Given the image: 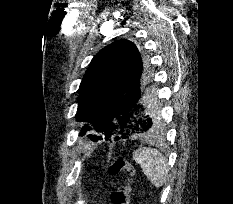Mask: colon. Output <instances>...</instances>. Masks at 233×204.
Returning <instances> with one entry per match:
<instances>
[{"mask_svg":"<svg viewBox=\"0 0 233 204\" xmlns=\"http://www.w3.org/2000/svg\"><path fill=\"white\" fill-rule=\"evenodd\" d=\"M110 176L126 175V181L119 185L110 196L112 204H129V197L136 174L134 166L124 158L113 161L107 170Z\"/></svg>","mask_w":233,"mask_h":204,"instance_id":"5ec220e1","label":"colon"}]
</instances>
